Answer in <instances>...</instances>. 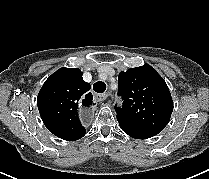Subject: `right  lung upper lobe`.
<instances>
[{
  "mask_svg": "<svg viewBox=\"0 0 209 179\" xmlns=\"http://www.w3.org/2000/svg\"><path fill=\"white\" fill-rule=\"evenodd\" d=\"M91 85L78 68H60L43 84L37 97L40 116L46 128L57 137L74 141L86 133L79 119V109L89 108Z\"/></svg>",
  "mask_w": 209,
  "mask_h": 179,
  "instance_id": "cb5924a9",
  "label": "right lung upper lobe"
}]
</instances>
